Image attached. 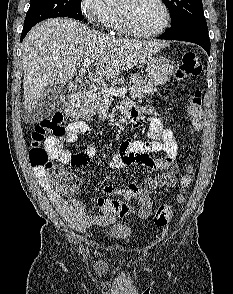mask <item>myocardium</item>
<instances>
[{
    "label": "myocardium",
    "mask_w": 233,
    "mask_h": 294,
    "mask_svg": "<svg viewBox=\"0 0 233 294\" xmlns=\"http://www.w3.org/2000/svg\"><path fill=\"white\" fill-rule=\"evenodd\" d=\"M155 1L163 9L165 19H164V23L162 24L161 27H159L158 29L151 31V32H141V31L136 30L132 26L127 12L125 10L119 9L122 28L126 34H128L130 36L138 37V38H152V37H156V36L162 34L164 31L167 30V28L171 24L170 9L164 0H155Z\"/></svg>",
    "instance_id": "myocardium-1"
}]
</instances>
